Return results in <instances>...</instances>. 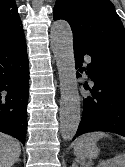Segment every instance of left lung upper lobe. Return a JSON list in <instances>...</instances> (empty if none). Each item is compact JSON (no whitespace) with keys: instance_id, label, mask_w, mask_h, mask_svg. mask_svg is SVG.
Wrapping results in <instances>:
<instances>
[{"instance_id":"5c2ea615","label":"left lung upper lobe","mask_w":125,"mask_h":167,"mask_svg":"<svg viewBox=\"0 0 125 167\" xmlns=\"http://www.w3.org/2000/svg\"><path fill=\"white\" fill-rule=\"evenodd\" d=\"M54 20H66L73 43L87 49L108 47L125 55V29L110 0H57Z\"/></svg>"}]
</instances>
